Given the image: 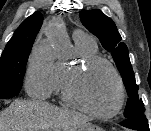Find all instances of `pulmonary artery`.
I'll list each match as a JSON object with an SVG mask.
<instances>
[{
	"label": "pulmonary artery",
	"instance_id": "e3ab8cb5",
	"mask_svg": "<svg viewBox=\"0 0 151 131\" xmlns=\"http://www.w3.org/2000/svg\"><path fill=\"white\" fill-rule=\"evenodd\" d=\"M73 38L75 41H88V42H94V39L92 36L89 34L81 31V30H76L73 33Z\"/></svg>",
	"mask_w": 151,
	"mask_h": 131
}]
</instances>
